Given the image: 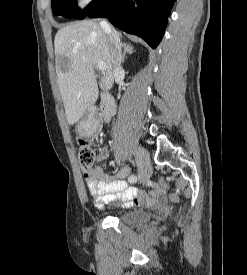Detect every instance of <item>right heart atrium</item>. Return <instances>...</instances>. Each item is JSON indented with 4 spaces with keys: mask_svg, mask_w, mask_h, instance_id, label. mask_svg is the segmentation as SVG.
Instances as JSON below:
<instances>
[{
    "mask_svg": "<svg viewBox=\"0 0 247 275\" xmlns=\"http://www.w3.org/2000/svg\"><path fill=\"white\" fill-rule=\"evenodd\" d=\"M91 2H92V0H77V1H76V4H77L79 7L83 8V7L88 6Z\"/></svg>",
    "mask_w": 247,
    "mask_h": 275,
    "instance_id": "obj_1",
    "label": "right heart atrium"
}]
</instances>
